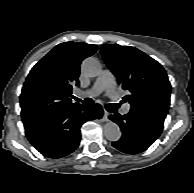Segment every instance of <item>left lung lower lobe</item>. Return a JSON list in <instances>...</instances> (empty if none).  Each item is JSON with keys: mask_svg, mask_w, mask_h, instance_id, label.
<instances>
[{"mask_svg": "<svg viewBox=\"0 0 194 193\" xmlns=\"http://www.w3.org/2000/svg\"><path fill=\"white\" fill-rule=\"evenodd\" d=\"M109 119L122 130L121 138L112 145L127 154L145 151L161 134L164 118L131 111L124 116L116 113Z\"/></svg>", "mask_w": 194, "mask_h": 193, "instance_id": "left-lung-lower-lobe-1", "label": "left lung lower lobe"}]
</instances>
